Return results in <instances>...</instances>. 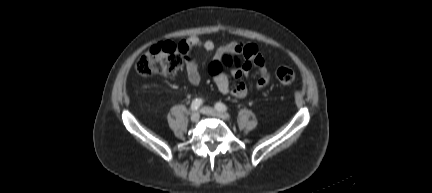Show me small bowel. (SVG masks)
I'll return each mask as SVG.
<instances>
[{"label": "small bowel", "instance_id": "c3829d8e", "mask_svg": "<svg viewBox=\"0 0 432 193\" xmlns=\"http://www.w3.org/2000/svg\"><path fill=\"white\" fill-rule=\"evenodd\" d=\"M179 48L185 58L187 80L192 86H198L201 81V74L199 66L192 55V50L203 49L211 52L215 50V44L212 40H203L197 36H191L182 41L179 44ZM224 55H231L241 60L240 65H234L230 69L232 76L238 80L235 84L230 83L228 76L223 71L222 58ZM252 68H255L259 75L256 88L257 90H262L270 81V73L256 45L228 43L220 46L216 49L215 56L210 64V71L213 72L215 84L219 92L222 94H231L237 98H243L247 95L248 88L241 79L247 76Z\"/></svg>", "mask_w": 432, "mask_h": 193}]
</instances>
